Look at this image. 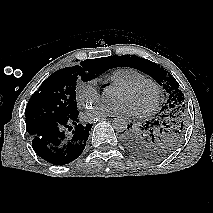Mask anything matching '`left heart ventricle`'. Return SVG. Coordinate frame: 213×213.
Instances as JSON below:
<instances>
[{"label": "left heart ventricle", "mask_w": 213, "mask_h": 213, "mask_svg": "<svg viewBox=\"0 0 213 213\" xmlns=\"http://www.w3.org/2000/svg\"><path fill=\"white\" fill-rule=\"evenodd\" d=\"M114 100L126 102L133 110L142 111L147 109L154 101V89L148 85H141L133 90L117 89Z\"/></svg>", "instance_id": "b2bd125f"}]
</instances>
